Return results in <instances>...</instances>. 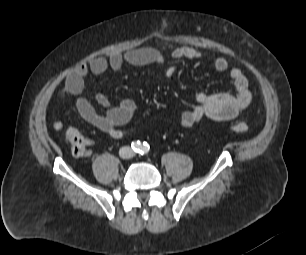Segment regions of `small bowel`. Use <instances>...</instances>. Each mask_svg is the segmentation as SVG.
Segmentation results:
<instances>
[{"label": "small bowel", "mask_w": 306, "mask_h": 255, "mask_svg": "<svg viewBox=\"0 0 306 255\" xmlns=\"http://www.w3.org/2000/svg\"><path fill=\"white\" fill-rule=\"evenodd\" d=\"M202 52L196 48L182 46L176 48L169 56L154 47H142L127 52H113L108 57H95L87 64H80L66 77L59 97L65 100L75 96L76 108L80 116L89 124L106 133L114 139L122 138L125 131L121 128L135 115L136 104L132 99L121 100L116 106H109V99L104 94L96 96L99 106L105 108L104 112H98L96 108L81 93L84 89V80L89 73L100 75L112 69L120 70L124 65L146 66L154 65L164 70V75L171 78L181 60L200 59ZM213 66L218 72L228 73L235 88L233 93L207 94L199 92L195 96L196 104L183 110L178 115L179 124L188 128L209 117L216 121H229L238 116L241 110L246 108L252 99L249 82L243 72L237 67H230L224 57L214 60ZM53 128L57 131L63 128L61 121H55Z\"/></svg>", "instance_id": "small-bowel-1"}]
</instances>
